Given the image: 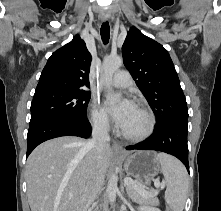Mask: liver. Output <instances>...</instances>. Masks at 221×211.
Segmentation results:
<instances>
[{"label": "liver", "instance_id": "6515ba94", "mask_svg": "<svg viewBox=\"0 0 221 211\" xmlns=\"http://www.w3.org/2000/svg\"><path fill=\"white\" fill-rule=\"evenodd\" d=\"M111 159L108 147L98 163L89 141L78 137H58L40 144L26 164L31 211H85L97 166L105 175Z\"/></svg>", "mask_w": 221, "mask_h": 211}]
</instances>
